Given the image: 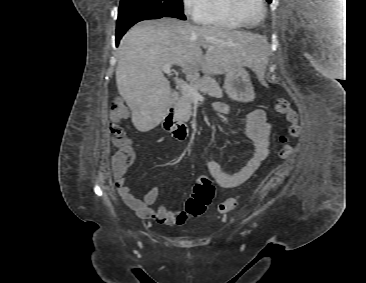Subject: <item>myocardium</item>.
Wrapping results in <instances>:
<instances>
[{"label": "myocardium", "instance_id": "f54148a6", "mask_svg": "<svg viewBox=\"0 0 366 283\" xmlns=\"http://www.w3.org/2000/svg\"><path fill=\"white\" fill-rule=\"evenodd\" d=\"M257 1L261 6V13L255 23H249L243 17L242 12H241L243 0H228V6H229V10H230L232 16L238 23H240L242 26H245V27H255L263 20L265 14H266L265 0H257Z\"/></svg>", "mask_w": 366, "mask_h": 283}]
</instances>
